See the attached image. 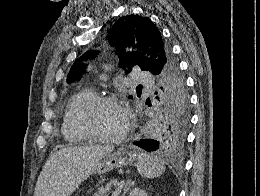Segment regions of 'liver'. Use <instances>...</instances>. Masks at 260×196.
I'll list each match as a JSON object with an SVG mask.
<instances>
[{"mask_svg":"<svg viewBox=\"0 0 260 196\" xmlns=\"http://www.w3.org/2000/svg\"><path fill=\"white\" fill-rule=\"evenodd\" d=\"M114 146H72L48 158L36 184L34 196H71L94 174L98 162Z\"/></svg>","mask_w":260,"mask_h":196,"instance_id":"liver-1","label":"liver"}]
</instances>
